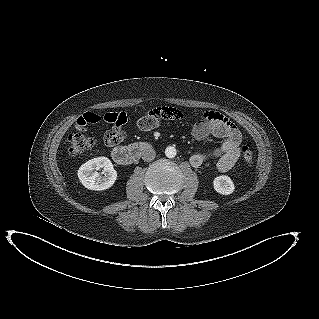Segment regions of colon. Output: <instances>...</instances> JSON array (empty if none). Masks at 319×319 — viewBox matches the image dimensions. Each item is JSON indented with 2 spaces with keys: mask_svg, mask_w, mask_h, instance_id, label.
I'll use <instances>...</instances> for the list:
<instances>
[{
  "mask_svg": "<svg viewBox=\"0 0 319 319\" xmlns=\"http://www.w3.org/2000/svg\"><path fill=\"white\" fill-rule=\"evenodd\" d=\"M104 120L119 127L127 122V115L124 112L107 113L104 115ZM96 144L97 141L93 137L83 133H71L68 136V153L71 156H77L91 150ZM242 158L246 163H252L255 154L246 146L242 149Z\"/></svg>",
  "mask_w": 319,
  "mask_h": 319,
  "instance_id": "colon-1",
  "label": "colon"
}]
</instances>
